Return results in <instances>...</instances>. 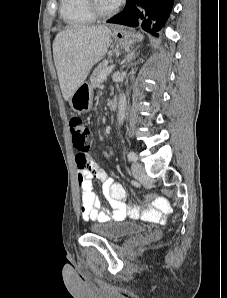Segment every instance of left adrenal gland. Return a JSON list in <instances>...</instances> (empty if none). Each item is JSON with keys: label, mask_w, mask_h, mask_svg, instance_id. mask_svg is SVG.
I'll list each match as a JSON object with an SVG mask.
<instances>
[{"label": "left adrenal gland", "mask_w": 227, "mask_h": 298, "mask_svg": "<svg viewBox=\"0 0 227 298\" xmlns=\"http://www.w3.org/2000/svg\"><path fill=\"white\" fill-rule=\"evenodd\" d=\"M139 48V46H137L136 48L132 49V51H130L124 59V64L127 65L128 63H130L133 59L136 58V56L139 54V52L136 53L137 49Z\"/></svg>", "instance_id": "1"}]
</instances>
